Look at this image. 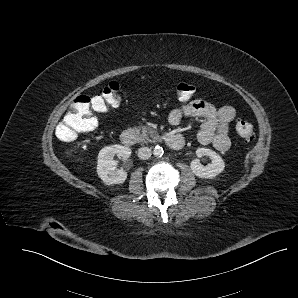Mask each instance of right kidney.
I'll use <instances>...</instances> for the list:
<instances>
[{
	"mask_svg": "<svg viewBox=\"0 0 298 298\" xmlns=\"http://www.w3.org/2000/svg\"><path fill=\"white\" fill-rule=\"evenodd\" d=\"M114 155L129 159L132 155V148L122 144L103 147L98 153L97 173L100 179L106 184L121 183L127 177V172L117 168Z\"/></svg>",
	"mask_w": 298,
	"mask_h": 298,
	"instance_id": "obj_1",
	"label": "right kidney"
}]
</instances>
